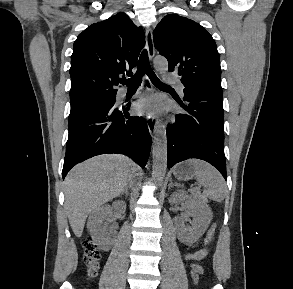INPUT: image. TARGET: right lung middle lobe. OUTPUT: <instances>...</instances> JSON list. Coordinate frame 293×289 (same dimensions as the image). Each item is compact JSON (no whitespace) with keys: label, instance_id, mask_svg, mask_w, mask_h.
<instances>
[{"label":"right lung middle lobe","instance_id":"dd1d6c3e","mask_svg":"<svg viewBox=\"0 0 293 289\" xmlns=\"http://www.w3.org/2000/svg\"><path fill=\"white\" fill-rule=\"evenodd\" d=\"M116 94L108 96H99L87 98L84 100L71 102V111L69 115V120L87 114L91 111L104 107L108 104L114 103Z\"/></svg>","mask_w":293,"mask_h":289}]
</instances>
